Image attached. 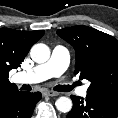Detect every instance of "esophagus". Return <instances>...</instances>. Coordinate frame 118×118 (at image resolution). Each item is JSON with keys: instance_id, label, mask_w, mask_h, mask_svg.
I'll return each mask as SVG.
<instances>
[{"instance_id": "1", "label": "esophagus", "mask_w": 118, "mask_h": 118, "mask_svg": "<svg viewBox=\"0 0 118 118\" xmlns=\"http://www.w3.org/2000/svg\"><path fill=\"white\" fill-rule=\"evenodd\" d=\"M44 94L47 95V96H50V97H53V96H57L58 95L57 92L50 91V90L46 91Z\"/></svg>"}]
</instances>
